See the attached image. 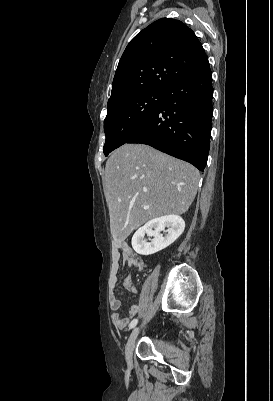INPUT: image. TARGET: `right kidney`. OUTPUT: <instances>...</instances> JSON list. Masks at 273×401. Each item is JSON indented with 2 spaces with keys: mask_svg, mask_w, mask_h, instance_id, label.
I'll return each instance as SVG.
<instances>
[{
  "mask_svg": "<svg viewBox=\"0 0 273 401\" xmlns=\"http://www.w3.org/2000/svg\"><path fill=\"white\" fill-rule=\"evenodd\" d=\"M165 227H168V235L163 237L161 231H165ZM184 229L185 223L178 215H165V217L152 219L134 233L131 241L132 247L138 255H154V253H158V251H162L174 243L182 235ZM144 235L154 237V239L151 243H146Z\"/></svg>",
  "mask_w": 273,
  "mask_h": 401,
  "instance_id": "1",
  "label": "right kidney"
}]
</instances>
